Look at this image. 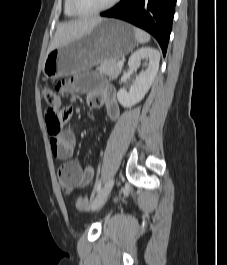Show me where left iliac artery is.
<instances>
[{"label":"left iliac artery","instance_id":"1","mask_svg":"<svg viewBox=\"0 0 227 265\" xmlns=\"http://www.w3.org/2000/svg\"><path fill=\"white\" fill-rule=\"evenodd\" d=\"M101 189V180H99L95 186L94 192L98 193Z\"/></svg>","mask_w":227,"mask_h":265}]
</instances>
